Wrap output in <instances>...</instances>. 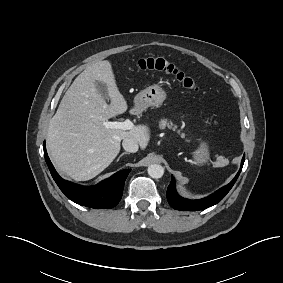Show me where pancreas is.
<instances>
[{
    "label": "pancreas",
    "mask_w": 283,
    "mask_h": 283,
    "mask_svg": "<svg viewBox=\"0 0 283 283\" xmlns=\"http://www.w3.org/2000/svg\"><path fill=\"white\" fill-rule=\"evenodd\" d=\"M159 127L161 129H165L166 127L168 129H172V130H175L176 129V125H174L172 123V121L170 120H167V119H161V121L159 122ZM182 137H184L185 135L184 134H181Z\"/></svg>",
    "instance_id": "1"
}]
</instances>
